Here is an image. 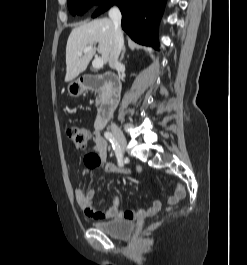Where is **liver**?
Returning <instances> with one entry per match:
<instances>
[{"label":"liver","mask_w":247,"mask_h":265,"mask_svg":"<svg viewBox=\"0 0 247 265\" xmlns=\"http://www.w3.org/2000/svg\"><path fill=\"white\" fill-rule=\"evenodd\" d=\"M114 42V25L112 20L103 18L74 28L67 40L65 82L75 79L86 70L95 49L79 56L78 52L87 46L98 43L103 63H107Z\"/></svg>","instance_id":"6515ba94"}]
</instances>
